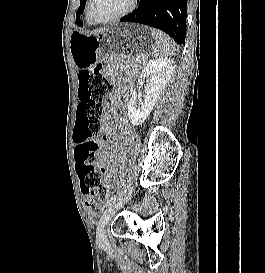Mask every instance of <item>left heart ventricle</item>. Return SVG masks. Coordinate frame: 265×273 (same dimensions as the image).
<instances>
[{"label": "left heart ventricle", "mask_w": 265, "mask_h": 273, "mask_svg": "<svg viewBox=\"0 0 265 273\" xmlns=\"http://www.w3.org/2000/svg\"><path fill=\"white\" fill-rule=\"evenodd\" d=\"M131 0H93L91 15L95 19H107L124 11Z\"/></svg>", "instance_id": "b2bd125f"}]
</instances>
